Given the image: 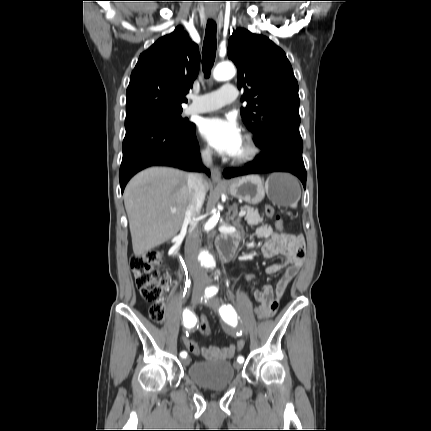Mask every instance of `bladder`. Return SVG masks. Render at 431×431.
<instances>
[{
	"mask_svg": "<svg viewBox=\"0 0 431 431\" xmlns=\"http://www.w3.org/2000/svg\"><path fill=\"white\" fill-rule=\"evenodd\" d=\"M191 381L206 389H223L230 386L236 378L234 365L227 360L197 361L187 370Z\"/></svg>",
	"mask_w": 431,
	"mask_h": 431,
	"instance_id": "bladder-1",
	"label": "bladder"
}]
</instances>
